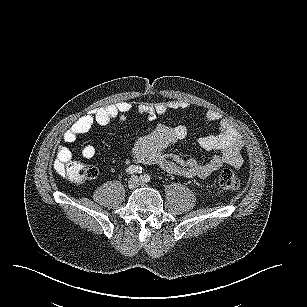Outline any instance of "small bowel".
<instances>
[{
	"mask_svg": "<svg viewBox=\"0 0 307 307\" xmlns=\"http://www.w3.org/2000/svg\"><path fill=\"white\" fill-rule=\"evenodd\" d=\"M188 106L189 104L183 100L141 102L136 106L130 102H119L92 110L76 120L67 130L64 135V144L59 146L57 150L56 164L67 162L73 158L69 145L74 143L78 136L87 133L95 124L104 126L115 118L124 120L131 111L145 115L152 120L170 110L184 109ZM204 120L218 123L217 134L204 136L198 140L200 147L205 151L219 152L208 161L184 160L178 156L167 154L165 150L170 145L185 139L188 130L184 125L170 127L160 124L136 142L131 156L126 159L125 163L129 165L134 163L153 164L169 173L189 178H206L224 164L239 169L243 164L242 150L244 147L239 131L228 119L222 118L214 110H208L204 115ZM82 154L85 158H93L96 149L93 145H86Z\"/></svg>",
	"mask_w": 307,
	"mask_h": 307,
	"instance_id": "1",
	"label": "small bowel"
}]
</instances>
